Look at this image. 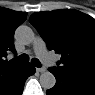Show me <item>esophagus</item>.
I'll return each mask as SVG.
<instances>
[{"label": "esophagus", "mask_w": 95, "mask_h": 95, "mask_svg": "<svg viewBox=\"0 0 95 95\" xmlns=\"http://www.w3.org/2000/svg\"><path fill=\"white\" fill-rule=\"evenodd\" d=\"M36 70H37L38 72L43 73V72L46 71V68H45V67H40V68H36Z\"/></svg>", "instance_id": "1"}]
</instances>
